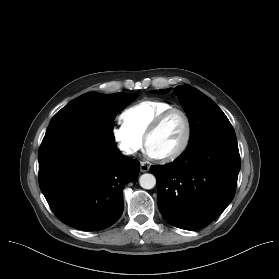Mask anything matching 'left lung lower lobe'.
Segmentation results:
<instances>
[{"label": "left lung lower lobe", "mask_w": 279, "mask_h": 279, "mask_svg": "<svg viewBox=\"0 0 279 279\" xmlns=\"http://www.w3.org/2000/svg\"><path fill=\"white\" fill-rule=\"evenodd\" d=\"M240 165L235 134H220L189 145L171 164L151 166L161 214L185 230L209 225L232 201Z\"/></svg>", "instance_id": "left-lung-lower-lobe-1"}]
</instances>
